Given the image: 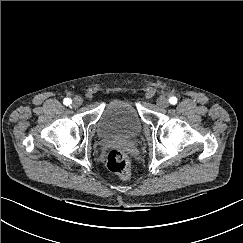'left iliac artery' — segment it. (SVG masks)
Masks as SVG:
<instances>
[{
	"label": "left iliac artery",
	"instance_id": "left-iliac-artery-1",
	"mask_svg": "<svg viewBox=\"0 0 243 243\" xmlns=\"http://www.w3.org/2000/svg\"><path fill=\"white\" fill-rule=\"evenodd\" d=\"M169 103L172 104V105H175L177 103V98L176 97H170L169 99Z\"/></svg>",
	"mask_w": 243,
	"mask_h": 243
}]
</instances>
